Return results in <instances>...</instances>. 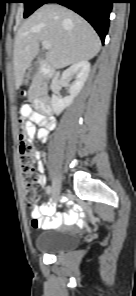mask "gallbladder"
<instances>
[{
  "mask_svg": "<svg viewBox=\"0 0 136 296\" xmlns=\"http://www.w3.org/2000/svg\"><path fill=\"white\" fill-rule=\"evenodd\" d=\"M44 59V55L43 54H39L37 59L33 62V67L31 70V75L33 76L39 69L40 66V62Z\"/></svg>",
  "mask_w": 136,
  "mask_h": 296,
  "instance_id": "bac80fb5",
  "label": "gallbladder"
}]
</instances>
